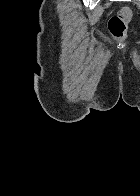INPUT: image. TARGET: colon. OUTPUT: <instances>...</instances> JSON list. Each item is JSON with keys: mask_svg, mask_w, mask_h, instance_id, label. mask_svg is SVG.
Segmentation results:
<instances>
[{"mask_svg": "<svg viewBox=\"0 0 140 196\" xmlns=\"http://www.w3.org/2000/svg\"><path fill=\"white\" fill-rule=\"evenodd\" d=\"M132 18L133 12L128 7L121 8L116 14L109 18L108 30L115 40L119 42L125 40Z\"/></svg>", "mask_w": 140, "mask_h": 196, "instance_id": "5ec220e1", "label": "colon"}]
</instances>
